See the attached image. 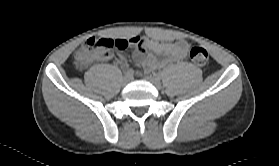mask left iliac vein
<instances>
[{
    "label": "left iliac vein",
    "mask_w": 279,
    "mask_h": 166,
    "mask_svg": "<svg viewBox=\"0 0 279 166\" xmlns=\"http://www.w3.org/2000/svg\"><path fill=\"white\" fill-rule=\"evenodd\" d=\"M150 83H152L157 89H161V80L158 76H149L146 78Z\"/></svg>",
    "instance_id": "obj_1"
}]
</instances>
